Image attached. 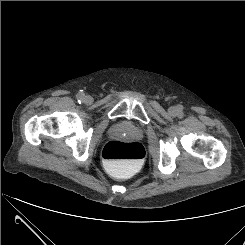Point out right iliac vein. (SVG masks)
I'll return each mask as SVG.
<instances>
[{"label":"right iliac vein","instance_id":"obj_1","mask_svg":"<svg viewBox=\"0 0 245 245\" xmlns=\"http://www.w3.org/2000/svg\"><path fill=\"white\" fill-rule=\"evenodd\" d=\"M83 101H84V103H86V104H91V103H92V97L89 96V95H86V96H84Z\"/></svg>","mask_w":245,"mask_h":245}]
</instances>
